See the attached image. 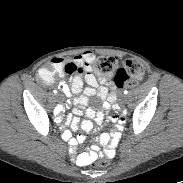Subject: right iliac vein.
I'll list each match as a JSON object with an SVG mask.
<instances>
[{
  "label": "right iliac vein",
  "instance_id": "obj_1",
  "mask_svg": "<svg viewBox=\"0 0 183 183\" xmlns=\"http://www.w3.org/2000/svg\"><path fill=\"white\" fill-rule=\"evenodd\" d=\"M61 97H62L61 94H58V95H57V98H58V99H61Z\"/></svg>",
  "mask_w": 183,
  "mask_h": 183
}]
</instances>
